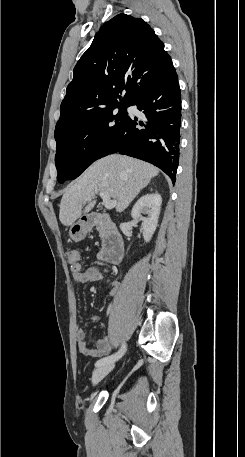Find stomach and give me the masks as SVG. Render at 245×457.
<instances>
[{
    "label": "stomach",
    "mask_w": 245,
    "mask_h": 457,
    "mask_svg": "<svg viewBox=\"0 0 245 457\" xmlns=\"http://www.w3.org/2000/svg\"><path fill=\"white\" fill-rule=\"evenodd\" d=\"M93 222L91 220H78V222H75V224H72L71 229L69 231V237L72 239V241H82V239H85L87 233L91 231V226Z\"/></svg>",
    "instance_id": "obj_1"
}]
</instances>
